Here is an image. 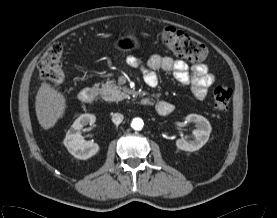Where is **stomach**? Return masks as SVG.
<instances>
[{
    "label": "stomach",
    "instance_id": "obj_1",
    "mask_svg": "<svg viewBox=\"0 0 277 218\" xmlns=\"http://www.w3.org/2000/svg\"><path fill=\"white\" fill-rule=\"evenodd\" d=\"M122 50H131L138 46V40L134 35H127L122 37L118 43Z\"/></svg>",
    "mask_w": 277,
    "mask_h": 218
}]
</instances>
